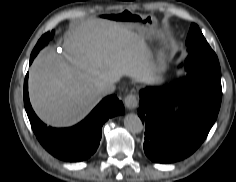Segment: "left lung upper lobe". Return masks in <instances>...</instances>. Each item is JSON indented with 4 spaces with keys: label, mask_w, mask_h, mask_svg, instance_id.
I'll list each match as a JSON object with an SVG mask.
<instances>
[{
    "label": "left lung upper lobe",
    "mask_w": 236,
    "mask_h": 182,
    "mask_svg": "<svg viewBox=\"0 0 236 182\" xmlns=\"http://www.w3.org/2000/svg\"><path fill=\"white\" fill-rule=\"evenodd\" d=\"M186 44L190 47L186 68L221 78V69L215 52L211 49L196 24H192Z\"/></svg>",
    "instance_id": "obj_1"
}]
</instances>
